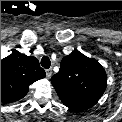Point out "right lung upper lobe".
I'll return each mask as SVG.
<instances>
[{"instance_id": "cb5924a9", "label": "right lung upper lobe", "mask_w": 122, "mask_h": 122, "mask_svg": "<svg viewBox=\"0 0 122 122\" xmlns=\"http://www.w3.org/2000/svg\"><path fill=\"white\" fill-rule=\"evenodd\" d=\"M45 76L37 58L13 50L1 60V101L11 103L20 100L31 84Z\"/></svg>"}]
</instances>
